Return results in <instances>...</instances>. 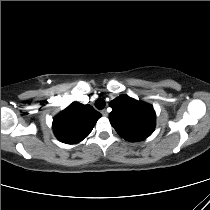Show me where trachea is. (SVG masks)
<instances>
[{
    "mask_svg": "<svg viewBox=\"0 0 210 210\" xmlns=\"http://www.w3.org/2000/svg\"><path fill=\"white\" fill-rule=\"evenodd\" d=\"M106 103L103 99H97L95 102V107L99 110L103 109L105 107Z\"/></svg>",
    "mask_w": 210,
    "mask_h": 210,
    "instance_id": "3493384b",
    "label": "trachea"
}]
</instances>
